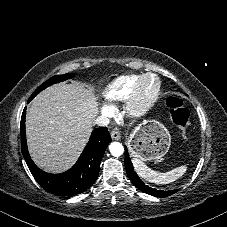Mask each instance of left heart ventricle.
I'll list each match as a JSON object with an SVG mask.
<instances>
[{"mask_svg":"<svg viewBox=\"0 0 227 227\" xmlns=\"http://www.w3.org/2000/svg\"><path fill=\"white\" fill-rule=\"evenodd\" d=\"M144 88L146 92H149L152 89V84L150 82H146Z\"/></svg>","mask_w":227,"mask_h":227,"instance_id":"left-heart-ventricle-1","label":"left heart ventricle"}]
</instances>
